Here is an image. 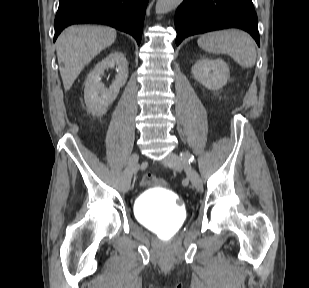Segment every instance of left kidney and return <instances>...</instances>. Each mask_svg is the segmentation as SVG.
<instances>
[{
	"label": "left kidney",
	"mask_w": 309,
	"mask_h": 288,
	"mask_svg": "<svg viewBox=\"0 0 309 288\" xmlns=\"http://www.w3.org/2000/svg\"><path fill=\"white\" fill-rule=\"evenodd\" d=\"M192 75L209 90H218L227 83L229 67L222 59L202 57L193 65Z\"/></svg>",
	"instance_id": "left-kidney-1"
}]
</instances>
